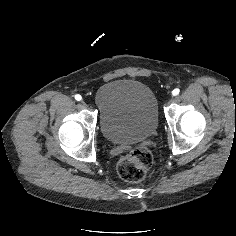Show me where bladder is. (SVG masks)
<instances>
[{"label": "bladder", "instance_id": "obj_1", "mask_svg": "<svg viewBox=\"0 0 236 236\" xmlns=\"http://www.w3.org/2000/svg\"><path fill=\"white\" fill-rule=\"evenodd\" d=\"M100 128L113 144H131L150 138L159 122L158 100L146 84L130 79L105 83L95 93Z\"/></svg>", "mask_w": 236, "mask_h": 236}]
</instances>
